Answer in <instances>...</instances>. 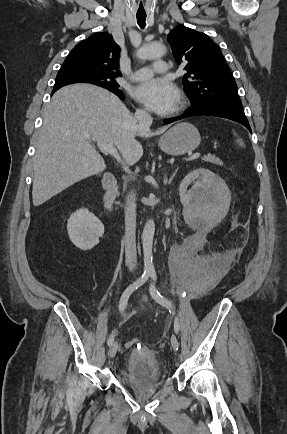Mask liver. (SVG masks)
I'll list each match as a JSON object with an SVG mask.
<instances>
[{
  "instance_id": "liver-1",
  "label": "liver",
  "mask_w": 287,
  "mask_h": 434,
  "mask_svg": "<svg viewBox=\"0 0 287 434\" xmlns=\"http://www.w3.org/2000/svg\"><path fill=\"white\" fill-rule=\"evenodd\" d=\"M142 128L113 93L87 84L59 89L46 106L34 156L33 205L39 206L73 184L103 172V157L91 140L116 146L128 165L143 148L135 137L162 133Z\"/></svg>"
}]
</instances>
